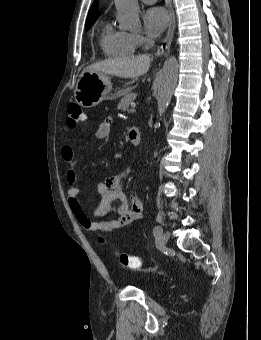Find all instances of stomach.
<instances>
[{
    "mask_svg": "<svg viewBox=\"0 0 261 340\" xmlns=\"http://www.w3.org/2000/svg\"><path fill=\"white\" fill-rule=\"evenodd\" d=\"M112 83L107 74L84 70L74 91L75 101L84 108H91L111 97Z\"/></svg>",
    "mask_w": 261,
    "mask_h": 340,
    "instance_id": "obj_1",
    "label": "stomach"
}]
</instances>
